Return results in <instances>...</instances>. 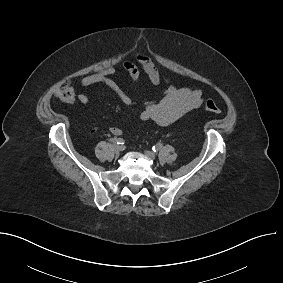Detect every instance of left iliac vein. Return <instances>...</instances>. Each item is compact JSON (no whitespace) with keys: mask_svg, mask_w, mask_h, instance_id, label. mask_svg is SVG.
Wrapping results in <instances>:
<instances>
[{"mask_svg":"<svg viewBox=\"0 0 283 283\" xmlns=\"http://www.w3.org/2000/svg\"><path fill=\"white\" fill-rule=\"evenodd\" d=\"M145 155L150 158V159H155L156 158V154L152 151H145Z\"/></svg>","mask_w":283,"mask_h":283,"instance_id":"left-iliac-vein-1","label":"left iliac vein"}]
</instances>
